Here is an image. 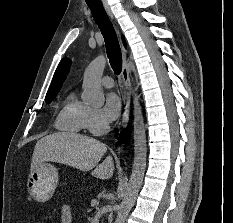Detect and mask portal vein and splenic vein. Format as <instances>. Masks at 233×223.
<instances>
[{"label":"portal vein and splenic vein","instance_id":"1","mask_svg":"<svg viewBox=\"0 0 233 223\" xmlns=\"http://www.w3.org/2000/svg\"><path fill=\"white\" fill-rule=\"evenodd\" d=\"M99 202H92L91 201V205H98Z\"/></svg>","mask_w":233,"mask_h":223}]
</instances>
